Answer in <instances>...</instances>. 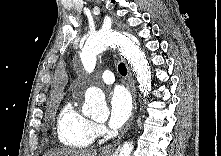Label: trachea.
<instances>
[{"instance_id":"3493384b","label":"trachea","mask_w":221,"mask_h":156,"mask_svg":"<svg viewBox=\"0 0 221 156\" xmlns=\"http://www.w3.org/2000/svg\"><path fill=\"white\" fill-rule=\"evenodd\" d=\"M118 71L122 76H125L127 74V69L124 63H119L118 65Z\"/></svg>"}]
</instances>
